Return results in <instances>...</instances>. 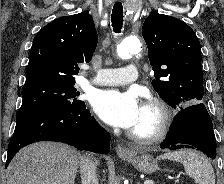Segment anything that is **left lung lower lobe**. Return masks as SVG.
<instances>
[{
  "mask_svg": "<svg viewBox=\"0 0 224 184\" xmlns=\"http://www.w3.org/2000/svg\"><path fill=\"white\" fill-rule=\"evenodd\" d=\"M160 148L170 150L197 148L210 158H215L216 140L213 125L203 103L181 109Z\"/></svg>",
  "mask_w": 224,
  "mask_h": 184,
  "instance_id": "1",
  "label": "left lung lower lobe"
}]
</instances>
